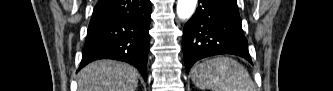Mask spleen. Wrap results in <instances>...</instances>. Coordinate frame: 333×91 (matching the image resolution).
<instances>
[{
	"instance_id": "3e777b00",
	"label": "spleen",
	"mask_w": 333,
	"mask_h": 91,
	"mask_svg": "<svg viewBox=\"0 0 333 91\" xmlns=\"http://www.w3.org/2000/svg\"><path fill=\"white\" fill-rule=\"evenodd\" d=\"M191 79L200 89L212 91H254V83L238 61L229 57H216L196 64Z\"/></svg>"
}]
</instances>
